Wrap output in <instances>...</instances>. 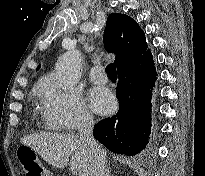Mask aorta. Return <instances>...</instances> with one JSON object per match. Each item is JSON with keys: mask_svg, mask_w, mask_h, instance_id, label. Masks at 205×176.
Wrapping results in <instances>:
<instances>
[{"mask_svg": "<svg viewBox=\"0 0 205 176\" xmlns=\"http://www.w3.org/2000/svg\"><path fill=\"white\" fill-rule=\"evenodd\" d=\"M82 60L78 51H68L55 66L56 83L62 90H71L81 77Z\"/></svg>", "mask_w": 205, "mask_h": 176, "instance_id": "aorta-1", "label": "aorta"}]
</instances>
